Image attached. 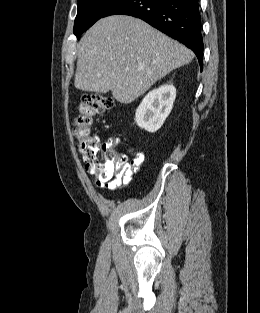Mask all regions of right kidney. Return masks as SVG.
I'll list each match as a JSON object with an SVG mask.
<instances>
[{"mask_svg":"<svg viewBox=\"0 0 260 313\" xmlns=\"http://www.w3.org/2000/svg\"><path fill=\"white\" fill-rule=\"evenodd\" d=\"M175 97L176 89L170 84L150 91L136 110L137 125L151 133L159 130L172 110Z\"/></svg>","mask_w":260,"mask_h":313,"instance_id":"ca27d5eb","label":"right kidney"}]
</instances>
